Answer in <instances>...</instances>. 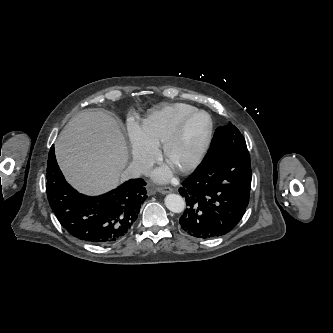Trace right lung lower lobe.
Instances as JSON below:
<instances>
[{
  "label": "right lung lower lobe",
  "mask_w": 333,
  "mask_h": 333,
  "mask_svg": "<svg viewBox=\"0 0 333 333\" xmlns=\"http://www.w3.org/2000/svg\"><path fill=\"white\" fill-rule=\"evenodd\" d=\"M146 182L131 179L97 197L78 193L64 179L50 149L46 174L49 204L72 236L92 244H109L126 235L147 198Z\"/></svg>",
  "instance_id": "1"
}]
</instances>
